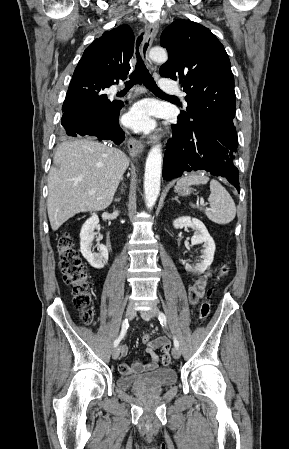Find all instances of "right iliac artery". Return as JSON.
<instances>
[{"mask_svg":"<svg viewBox=\"0 0 289 449\" xmlns=\"http://www.w3.org/2000/svg\"><path fill=\"white\" fill-rule=\"evenodd\" d=\"M128 327H129L128 320L125 319L122 323L121 333H120L119 337L114 341V347L118 346L120 341L124 338Z\"/></svg>","mask_w":289,"mask_h":449,"instance_id":"right-iliac-artery-1","label":"right iliac artery"}]
</instances>
